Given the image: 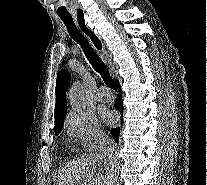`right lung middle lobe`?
I'll return each mask as SVG.
<instances>
[{
    "instance_id": "1",
    "label": "right lung middle lobe",
    "mask_w": 207,
    "mask_h": 185,
    "mask_svg": "<svg viewBox=\"0 0 207 185\" xmlns=\"http://www.w3.org/2000/svg\"><path fill=\"white\" fill-rule=\"evenodd\" d=\"M61 130H62V127L56 128L55 129L56 135H58L61 132Z\"/></svg>"
}]
</instances>
